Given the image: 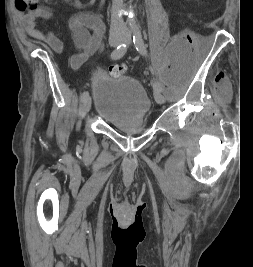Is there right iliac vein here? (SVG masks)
Returning a JSON list of instances; mask_svg holds the SVG:
<instances>
[{"label":"right iliac vein","instance_id":"right-iliac-vein-1","mask_svg":"<svg viewBox=\"0 0 253 267\" xmlns=\"http://www.w3.org/2000/svg\"><path fill=\"white\" fill-rule=\"evenodd\" d=\"M123 41V37L121 36H115L109 40V45L111 47H116L120 45ZM91 108V97L87 96L84 101H82V106H81V114L85 115L90 111Z\"/></svg>","mask_w":253,"mask_h":267}]
</instances>
